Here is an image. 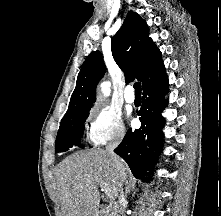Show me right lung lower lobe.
<instances>
[{
    "label": "right lung lower lobe",
    "mask_w": 221,
    "mask_h": 216,
    "mask_svg": "<svg viewBox=\"0 0 221 216\" xmlns=\"http://www.w3.org/2000/svg\"><path fill=\"white\" fill-rule=\"evenodd\" d=\"M168 79L163 70L143 87V104L138 111L141 127L128 130L120 145L114 150L130 167L133 175L143 180H151L154 161L162 151V132L164 125L161 112L168 101ZM146 175H149L146 177Z\"/></svg>",
    "instance_id": "obj_1"
}]
</instances>
